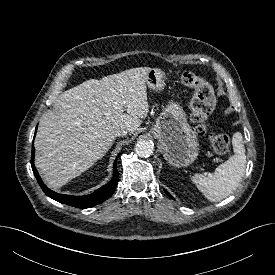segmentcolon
<instances>
[{
    "label": "colon",
    "mask_w": 275,
    "mask_h": 275,
    "mask_svg": "<svg viewBox=\"0 0 275 275\" xmlns=\"http://www.w3.org/2000/svg\"><path fill=\"white\" fill-rule=\"evenodd\" d=\"M182 83L193 91L190 101V119L195 125V131L204 135L209 129L208 117L216 104L213 87L201 77L192 72H185L181 76ZM213 150L218 154H225L230 147V139L226 134L213 133L209 136Z\"/></svg>",
    "instance_id": "obj_1"
}]
</instances>
